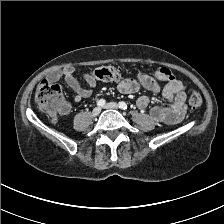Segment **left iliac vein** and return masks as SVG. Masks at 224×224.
<instances>
[{
  "label": "left iliac vein",
  "mask_w": 224,
  "mask_h": 224,
  "mask_svg": "<svg viewBox=\"0 0 224 224\" xmlns=\"http://www.w3.org/2000/svg\"><path fill=\"white\" fill-rule=\"evenodd\" d=\"M106 109H118V104L115 102H110L108 104L105 105Z\"/></svg>",
  "instance_id": "obj_1"
}]
</instances>
